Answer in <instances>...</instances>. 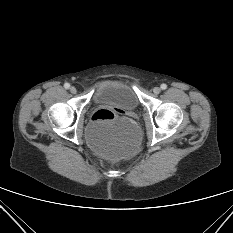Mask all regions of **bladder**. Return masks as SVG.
<instances>
[{"label":"bladder","mask_w":233,"mask_h":233,"mask_svg":"<svg viewBox=\"0 0 233 233\" xmlns=\"http://www.w3.org/2000/svg\"><path fill=\"white\" fill-rule=\"evenodd\" d=\"M94 102L129 111L136 109L140 104L133 84L118 79L102 82L95 91ZM86 139L96 155L117 160L131 156L137 151L140 130L132 120H123L104 128H89Z\"/></svg>","instance_id":"31cf9c89"}]
</instances>
